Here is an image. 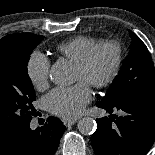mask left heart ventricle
<instances>
[{
    "instance_id": "1",
    "label": "left heart ventricle",
    "mask_w": 155,
    "mask_h": 155,
    "mask_svg": "<svg viewBox=\"0 0 155 155\" xmlns=\"http://www.w3.org/2000/svg\"><path fill=\"white\" fill-rule=\"evenodd\" d=\"M114 61V54L111 49L102 50L95 59L91 69L84 73L76 67V80H82L88 84L92 81L103 79L110 72Z\"/></svg>"
}]
</instances>
